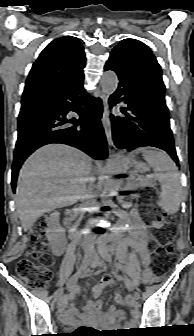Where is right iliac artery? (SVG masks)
I'll return each mask as SVG.
<instances>
[{
	"label": "right iliac artery",
	"instance_id": "82829eb1",
	"mask_svg": "<svg viewBox=\"0 0 194 336\" xmlns=\"http://www.w3.org/2000/svg\"><path fill=\"white\" fill-rule=\"evenodd\" d=\"M83 267H84V263L81 265V267L78 269V271L72 277H70V279L67 282V288H72L76 284L78 278L82 274ZM73 296H74V294L72 292H70L68 294H65L63 296L62 300H67V299L73 298Z\"/></svg>",
	"mask_w": 194,
	"mask_h": 336
}]
</instances>
